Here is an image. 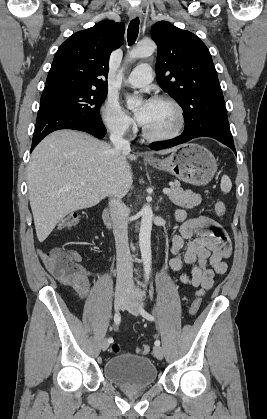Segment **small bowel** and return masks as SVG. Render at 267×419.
<instances>
[{
	"label": "small bowel",
	"instance_id": "c3829d8e",
	"mask_svg": "<svg viewBox=\"0 0 267 419\" xmlns=\"http://www.w3.org/2000/svg\"><path fill=\"white\" fill-rule=\"evenodd\" d=\"M176 218L181 222V227L179 234L173 238L170 267L180 273L178 281L181 285L199 288L196 294L201 296L212 287L216 274H225L226 260L232 252L231 242L222 226L211 218L186 220L182 209L176 211ZM184 246L186 249L181 257L179 252ZM39 256L47 270L57 276L61 284L71 286L81 300L87 298L90 283L86 270L75 277H61L51 269L43 252L40 251ZM183 265L190 267L189 273L181 272Z\"/></svg>",
	"mask_w": 267,
	"mask_h": 419
}]
</instances>
